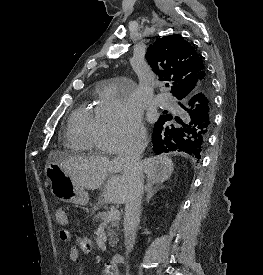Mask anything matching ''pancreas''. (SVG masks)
I'll use <instances>...</instances> for the list:
<instances>
[{"mask_svg": "<svg viewBox=\"0 0 263 275\" xmlns=\"http://www.w3.org/2000/svg\"><path fill=\"white\" fill-rule=\"evenodd\" d=\"M96 210L97 208L96 206H94L92 208V211L95 212ZM108 212L109 211L98 212L97 214L94 215V219L96 220V222L104 221ZM119 226H120V221L118 219L111 221L110 224L108 225L106 231L109 237L110 244H117V242L119 241Z\"/></svg>", "mask_w": 263, "mask_h": 275, "instance_id": "cf45deb5", "label": "pancreas"}]
</instances>
